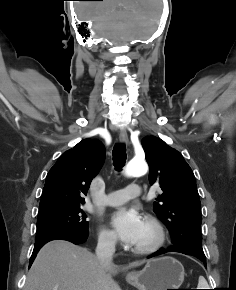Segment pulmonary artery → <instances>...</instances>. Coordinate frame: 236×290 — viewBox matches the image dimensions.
<instances>
[{"mask_svg":"<svg viewBox=\"0 0 236 290\" xmlns=\"http://www.w3.org/2000/svg\"><path fill=\"white\" fill-rule=\"evenodd\" d=\"M140 188L136 184H129L124 189L109 193L104 198V204L108 206H116L125 203L129 199L140 196Z\"/></svg>","mask_w":236,"mask_h":290,"instance_id":"obj_1","label":"pulmonary artery"}]
</instances>
